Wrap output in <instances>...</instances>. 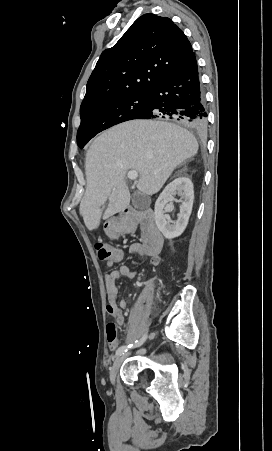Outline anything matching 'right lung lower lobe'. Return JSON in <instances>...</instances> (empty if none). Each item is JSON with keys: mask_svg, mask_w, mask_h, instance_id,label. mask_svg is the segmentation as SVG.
Wrapping results in <instances>:
<instances>
[{"mask_svg": "<svg viewBox=\"0 0 272 451\" xmlns=\"http://www.w3.org/2000/svg\"><path fill=\"white\" fill-rule=\"evenodd\" d=\"M207 116L193 53L151 90L147 110L136 119L177 120L202 132L207 128Z\"/></svg>", "mask_w": 272, "mask_h": 451, "instance_id": "1", "label": "right lung lower lobe"}]
</instances>
